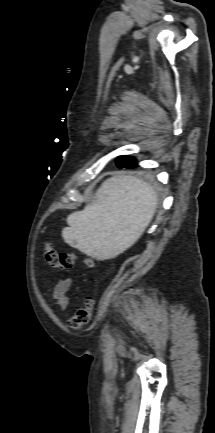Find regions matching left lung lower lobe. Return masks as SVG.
<instances>
[{
	"mask_svg": "<svg viewBox=\"0 0 215 433\" xmlns=\"http://www.w3.org/2000/svg\"><path fill=\"white\" fill-rule=\"evenodd\" d=\"M137 166V163L136 162H133V163H131V164H129V165H126V166H124V167H120V166H118L119 168H134V167H136Z\"/></svg>",
	"mask_w": 215,
	"mask_h": 433,
	"instance_id": "0a47b994",
	"label": "left lung lower lobe"
}]
</instances>
